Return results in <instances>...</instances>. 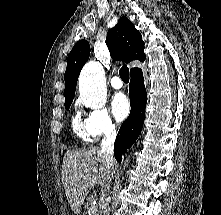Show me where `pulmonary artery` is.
<instances>
[{
    "label": "pulmonary artery",
    "mask_w": 221,
    "mask_h": 215,
    "mask_svg": "<svg viewBox=\"0 0 221 215\" xmlns=\"http://www.w3.org/2000/svg\"><path fill=\"white\" fill-rule=\"evenodd\" d=\"M110 84L114 89H120L123 87V81L120 76H113L110 80Z\"/></svg>",
    "instance_id": "1"
}]
</instances>
